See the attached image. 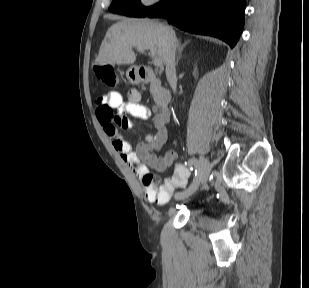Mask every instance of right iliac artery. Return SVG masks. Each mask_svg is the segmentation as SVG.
Instances as JSON below:
<instances>
[{
	"mask_svg": "<svg viewBox=\"0 0 309 288\" xmlns=\"http://www.w3.org/2000/svg\"><path fill=\"white\" fill-rule=\"evenodd\" d=\"M195 176H194V182H192L191 185H188V188H184L183 190H177V192H174L172 194V197L174 199H177L179 197V195H181V197H187V193H192L193 190H195V188L197 187V184L199 183V177H200V169H201V164L199 161H197V163L195 164Z\"/></svg>",
	"mask_w": 309,
	"mask_h": 288,
	"instance_id": "right-iliac-artery-1",
	"label": "right iliac artery"
}]
</instances>
